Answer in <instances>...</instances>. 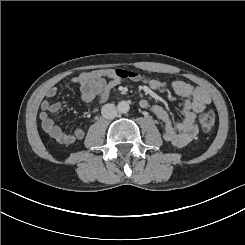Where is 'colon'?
I'll return each instance as SVG.
<instances>
[{
  "label": "colon",
  "instance_id": "1",
  "mask_svg": "<svg viewBox=\"0 0 245 245\" xmlns=\"http://www.w3.org/2000/svg\"><path fill=\"white\" fill-rule=\"evenodd\" d=\"M116 75L121 79L145 80V76L132 70L116 69ZM199 125L203 132L209 133L215 126V114L212 111H205L199 117Z\"/></svg>",
  "mask_w": 245,
  "mask_h": 245
}]
</instances>
